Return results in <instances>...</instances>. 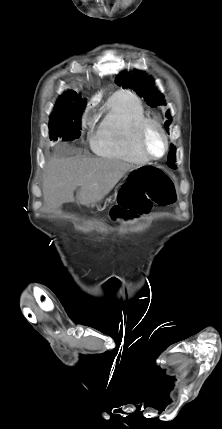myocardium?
<instances>
[{
  "instance_id": "myocardium-1",
  "label": "myocardium",
  "mask_w": 222,
  "mask_h": 429,
  "mask_svg": "<svg viewBox=\"0 0 222 429\" xmlns=\"http://www.w3.org/2000/svg\"><path fill=\"white\" fill-rule=\"evenodd\" d=\"M150 126L156 127L164 138L165 149L161 156L152 155L145 146V135ZM137 145L141 153L149 160H160L166 156L169 151L170 143L166 130L161 123L155 118L145 117L138 126Z\"/></svg>"
}]
</instances>
